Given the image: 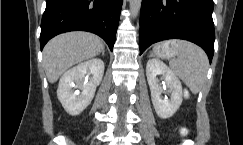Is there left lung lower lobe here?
<instances>
[{
	"instance_id": "obj_1",
	"label": "left lung lower lobe",
	"mask_w": 243,
	"mask_h": 145,
	"mask_svg": "<svg viewBox=\"0 0 243 145\" xmlns=\"http://www.w3.org/2000/svg\"><path fill=\"white\" fill-rule=\"evenodd\" d=\"M213 0H142L140 55L151 44L184 39L204 49L209 61L214 53Z\"/></svg>"
}]
</instances>
